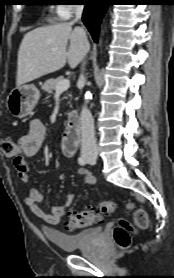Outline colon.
Listing matches in <instances>:
<instances>
[{
  "mask_svg": "<svg viewBox=\"0 0 174 278\" xmlns=\"http://www.w3.org/2000/svg\"><path fill=\"white\" fill-rule=\"evenodd\" d=\"M0 148L5 156L15 158L20 154V148L17 143L12 140H4L0 144ZM128 208L133 210V223L121 220L114 229V239L120 248H127L131 244L130 232L133 228L145 229L148 226L149 219L146 211L142 208L135 207L132 203L128 204ZM114 204L111 201H102L98 207H89L80 211H70L68 213V221L66 226L69 230H77L86 226H91L101 220L103 214L113 212Z\"/></svg>",
  "mask_w": 174,
  "mask_h": 278,
  "instance_id": "colon-1",
  "label": "colon"
}]
</instances>
